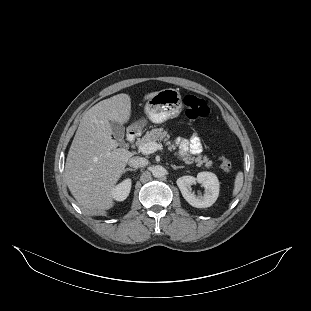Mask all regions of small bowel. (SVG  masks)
Segmentation results:
<instances>
[{
    "label": "small bowel",
    "mask_w": 311,
    "mask_h": 311,
    "mask_svg": "<svg viewBox=\"0 0 311 311\" xmlns=\"http://www.w3.org/2000/svg\"><path fill=\"white\" fill-rule=\"evenodd\" d=\"M179 148V156L186 158L189 154L198 155L202 151V144L198 134H193L189 139L180 138L176 140Z\"/></svg>",
    "instance_id": "obj_1"
}]
</instances>
